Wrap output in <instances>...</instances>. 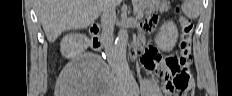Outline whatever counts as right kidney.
I'll use <instances>...</instances> for the list:
<instances>
[{"instance_id":"ca27d5eb","label":"right kidney","mask_w":232,"mask_h":96,"mask_svg":"<svg viewBox=\"0 0 232 96\" xmlns=\"http://www.w3.org/2000/svg\"><path fill=\"white\" fill-rule=\"evenodd\" d=\"M88 47V38L82 34H68L61 41V53L67 58L80 56Z\"/></svg>"}]
</instances>
